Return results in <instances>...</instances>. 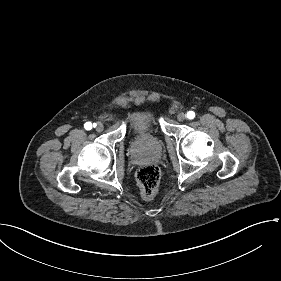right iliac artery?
Here are the masks:
<instances>
[{
  "label": "right iliac artery",
  "instance_id": "82829eb1",
  "mask_svg": "<svg viewBox=\"0 0 281 281\" xmlns=\"http://www.w3.org/2000/svg\"><path fill=\"white\" fill-rule=\"evenodd\" d=\"M93 126H94V124L92 125V123H90V122H87V123H85V125H84V127H85L86 130L92 129Z\"/></svg>",
  "mask_w": 281,
  "mask_h": 281
}]
</instances>
